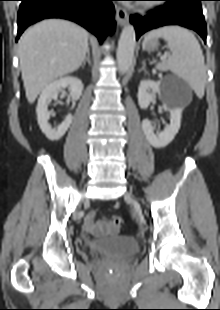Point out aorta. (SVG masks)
Returning <instances> with one entry per match:
<instances>
[{
    "label": "aorta",
    "mask_w": 220,
    "mask_h": 310,
    "mask_svg": "<svg viewBox=\"0 0 220 310\" xmlns=\"http://www.w3.org/2000/svg\"><path fill=\"white\" fill-rule=\"evenodd\" d=\"M136 45L135 30L132 25H126L120 35L117 49V64L119 72L126 73L132 65Z\"/></svg>",
    "instance_id": "aorta-1"
}]
</instances>
